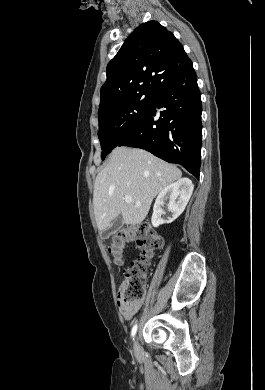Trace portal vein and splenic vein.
Returning a JSON list of instances; mask_svg holds the SVG:
<instances>
[{
	"mask_svg": "<svg viewBox=\"0 0 265 390\" xmlns=\"http://www.w3.org/2000/svg\"><path fill=\"white\" fill-rule=\"evenodd\" d=\"M124 201H125L126 203H131V202H132V198H131L130 196H125V197H124ZM136 205H137V206H140L141 203H140V202H136Z\"/></svg>",
	"mask_w": 265,
	"mask_h": 390,
	"instance_id": "obj_1",
	"label": "portal vein and splenic vein"
}]
</instances>
